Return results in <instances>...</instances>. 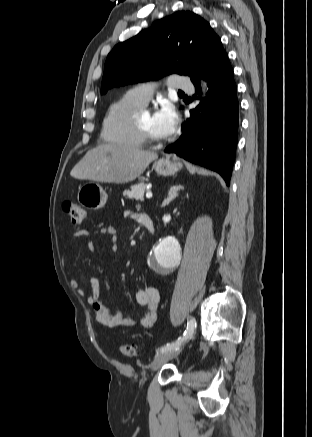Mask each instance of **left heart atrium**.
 <instances>
[{"label":"left heart atrium","instance_id":"left-heart-atrium-1","mask_svg":"<svg viewBox=\"0 0 312 437\" xmlns=\"http://www.w3.org/2000/svg\"><path fill=\"white\" fill-rule=\"evenodd\" d=\"M154 122L157 130L164 136L172 135L178 124V115L171 104H164L155 114Z\"/></svg>","mask_w":312,"mask_h":437}]
</instances>
